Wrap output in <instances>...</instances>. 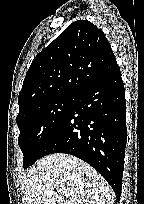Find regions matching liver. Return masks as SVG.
<instances>
[{"instance_id": "1", "label": "liver", "mask_w": 144, "mask_h": 204, "mask_svg": "<svg viewBox=\"0 0 144 204\" xmlns=\"http://www.w3.org/2000/svg\"><path fill=\"white\" fill-rule=\"evenodd\" d=\"M21 190L24 204H113L115 197L93 167L64 153L38 160L22 176Z\"/></svg>"}]
</instances>
